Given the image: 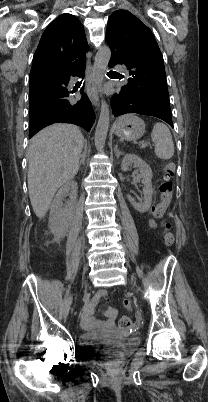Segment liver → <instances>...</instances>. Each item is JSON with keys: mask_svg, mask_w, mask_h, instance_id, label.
Here are the masks:
<instances>
[{"mask_svg": "<svg viewBox=\"0 0 208 402\" xmlns=\"http://www.w3.org/2000/svg\"><path fill=\"white\" fill-rule=\"evenodd\" d=\"M83 136L72 124H53L38 132L28 150V190L37 218H45L60 186L79 170Z\"/></svg>", "mask_w": 208, "mask_h": 402, "instance_id": "obj_1", "label": "liver"}]
</instances>
